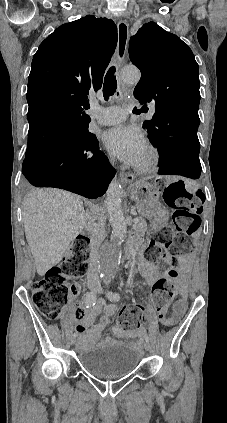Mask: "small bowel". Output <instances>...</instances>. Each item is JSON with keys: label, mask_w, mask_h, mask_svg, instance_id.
I'll return each instance as SVG.
<instances>
[{"label": "small bowel", "mask_w": 227, "mask_h": 423, "mask_svg": "<svg viewBox=\"0 0 227 423\" xmlns=\"http://www.w3.org/2000/svg\"><path fill=\"white\" fill-rule=\"evenodd\" d=\"M189 259V257H187ZM139 268L144 277L145 283L149 286L154 285L161 277L162 272L160 268L153 262L147 260L145 257H141L138 260ZM182 270V268L180 269ZM78 286H73V292L76 293ZM181 298L174 303L173 311L171 315H167L166 311L159 312L156 316L152 311L148 312V319L150 324H154L157 320L165 325L172 326L176 324L186 309L187 303V292L185 282L181 283ZM87 311H82V318L79 320L77 325V332L79 333L78 348L87 349L96 344L103 332V330L109 325L111 318L117 311V306L113 303L106 304L104 301L99 300L91 307H88ZM103 311V316L100 320L95 323L96 317ZM114 333L118 337H131L138 338L140 342L143 340L146 333L145 328L141 327L136 330L125 332L120 328H114ZM113 339L106 338L103 343H110Z\"/></svg>", "instance_id": "1"}]
</instances>
